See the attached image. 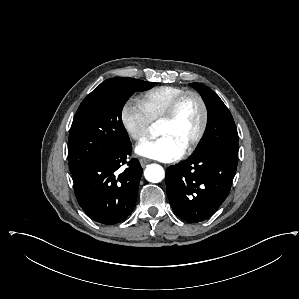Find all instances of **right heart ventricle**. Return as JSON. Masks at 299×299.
Instances as JSON below:
<instances>
[{"label": "right heart ventricle", "instance_id": "1", "mask_svg": "<svg viewBox=\"0 0 299 299\" xmlns=\"http://www.w3.org/2000/svg\"><path fill=\"white\" fill-rule=\"evenodd\" d=\"M185 91L183 87L171 85L155 87L141 95L138 103L151 123H159L173 100Z\"/></svg>", "mask_w": 299, "mask_h": 299}]
</instances>
